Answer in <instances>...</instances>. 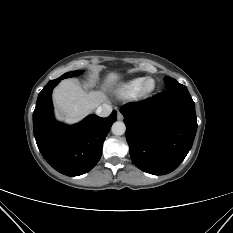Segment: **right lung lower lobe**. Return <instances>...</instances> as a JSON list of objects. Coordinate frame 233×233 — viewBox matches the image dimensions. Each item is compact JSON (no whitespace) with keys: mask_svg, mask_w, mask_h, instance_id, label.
<instances>
[{"mask_svg":"<svg viewBox=\"0 0 233 233\" xmlns=\"http://www.w3.org/2000/svg\"><path fill=\"white\" fill-rule=\"evenodd\" d=\"M60 81H49L39 93L33 113L34 136L41 154L55 170L67 176H78L98 163L117 112L113 111L107 118L92 114L73 126L56 122L51 95Z\"/></svg>","mask_w":233,"mask_h":233,"instance_id":"1","label":"right lung lower lobe"}]
</instances>
